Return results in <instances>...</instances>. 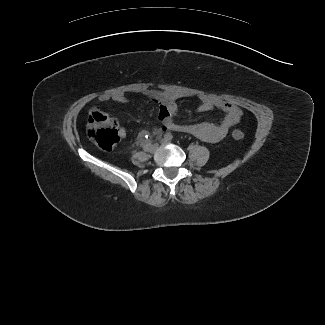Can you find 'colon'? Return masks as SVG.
<instances>
[{
    "label": "colon",
    "instance_id": "obj_1",
    "mask_svg": "<svg viewBox=\"0 0 325 325\" xmlns=\"http://www.w3.org/2000/svg\"><path fill=\"white\" fill-rule=\"evenodd\" d=\"M87 135L98 147L104 150L112 149L119 141L116 122L100 111H91L88 118ZM235 140H242L244 133L235 129L232 131Z\"/></svg>",
    "mask_w": 325,
    "mask_h": 325
}]
</instances>
